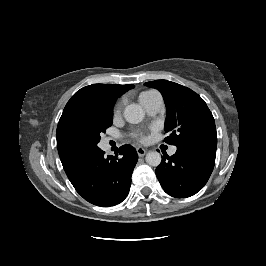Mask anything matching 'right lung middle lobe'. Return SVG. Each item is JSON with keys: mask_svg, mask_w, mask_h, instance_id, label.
I'll return each mask as SVG.
<instances>
[{"mask_svg": "<svg viewBox=\"0 0 266 266\" xmlns=\"http://www.w3.org/2000/svg\"><path fill=\"white\" fill-rule=\"evenodd\" d=\"M112 116V107L96 111L69 131L68 143L76 151L96 154L100 150V134L112 125Z\"/></svg>", "mask_w": 266, "mask_h": 266, "instance_id": "right-lung-middle-lobe-1", "label": "right lung middle lobe"}]
</instances>
